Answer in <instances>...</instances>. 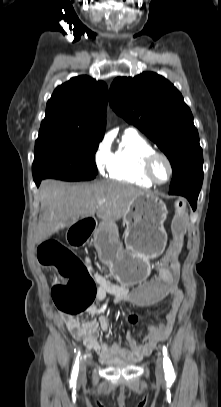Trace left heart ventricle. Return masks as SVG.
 Here are the masks:
<instances>
[{
	"label": "left heart ventricle",
	"instance_id": "1",
	"mask_svg": "<svg viewBox=\"0 0 221 407\" xmlns=\"http://www.w3.org/2000/svg\"><path fill=\"white\" fill-rule=\"evenodd\" d=\"M153 173L158 181H165L169 176V168L167 163L161 158L156 159L153 165Z\"/></svg>",
	"mask_w": 221,
	"mask_h": 407
}]
</instances>
